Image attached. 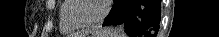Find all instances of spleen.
Listing matches in <instances>:
<instances>
[{
  "label": "spleen",
  "mask_w": 219,
  "mask_h": 37,
  "mask_svg": "<svg viewBox=\"0 0 219 37\" xmlns=\"http://www.w3.org/2000/svg\"><path fill=\"white\" fill-rule=\"evenodd\" d=\"M109 34L111 35L110 37H126L121 27L110 29Z\"/></svg>",
  "instance_id": "3e777b00"
}]
</instances>
